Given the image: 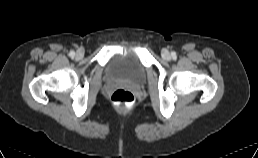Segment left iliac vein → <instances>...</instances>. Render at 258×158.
Here are the masks:
<instances>
[{
	"instance_id": "left-iliac-vein-1",
	"label": "left iliac vein",
	"mask_w": 258,
	"mask_h": 158,
	"mask_svg": "<svg viewBox=\"0 0 258 158\" xmlns=\"http://www.w3.org/2000/svg\"><path fill=\"white\" fill-rule=\"evenodd\" d=\"M162 57L165 59V60H170L171 59V54L168 50L166 49H163L162 50Z\"/></svg>"
}]
</instances>
